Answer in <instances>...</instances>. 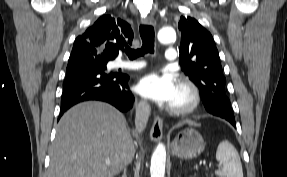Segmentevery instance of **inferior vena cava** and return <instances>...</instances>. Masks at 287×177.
Returning <instances> with one entry per match:
<instances>
[{
    "instance_id": "inferior-vena-cava-1",
    "label": "inferior vena cava",
    "mask_w": 287,
    "mask_h": 177,
    "mask_svg": "<svg viewBox=\"0 0 287 177\" xmlns=\"http://www.w3.org/2000/svg\"><path fill=\"white\" fill-rule=\"evenodd\" d=\"M150 111V106L145 101H141L136 106L135 126L137 133H141L145 129L150 116Z\"/></svg>"
}]
</instances>
